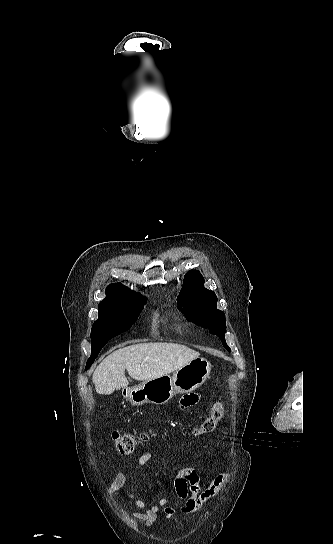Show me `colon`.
<instances>
[{
	"mask_svg": "<svg viewBox=\"0 0 333 544\" xmlns=\"http://www.w3.org/2000/svg\"><path fill=\"white\" fill-rule=\"evenodd\" d=\"M224 412L225 406L222 402L215 404L201 425L195 429L194 433L203 434L211 432L222 419ZM112 438L117 451L120 454L126 455L132 453L140 442L146 440L147 435L133 433L122 434L119 431H113Z\"/></svg>",
	"mask_w": 333,
	"mask_h": 544,
	"instance_id": "5ec220e1",
	"label": "colon"
}]
</instances>
